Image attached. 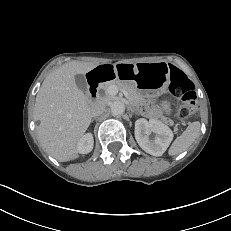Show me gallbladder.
<instances>
[{
	"label": "gallbladder",
	"mask_w": 231,
	"mask_h": 231,
	"mask_svg": "<svg viewBox=\"0 0 231 231\" xmlns=\"http://www.w3.org/2000/svg\"><path fill=\"white\" fill-rule=\"evenodd\" d=\"M76 86L83 92L87 91V82L85 77L82 74H78L75 76Z\"/></svg>",
	"instance_id": "gallbladder-1"
}]
</instances>
